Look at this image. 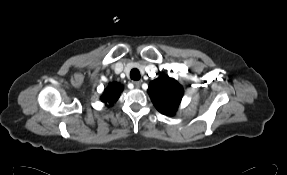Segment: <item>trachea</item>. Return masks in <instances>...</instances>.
Returning <instances> with one entry per match:
<instances>
[{
  "instance_id": "1",
  "label": "trachea",
  "mask_w": 287,
  "mask_h": 175,
  "mask_svg": "<svg viewBox=\"0 0 287 175\" xmlns=\"http://www.w3.org/2000/svg\"><path fill=\"white\" fill-rule=\"evenodd\" d=\"M130 77L133 80H139L140 79V72L138 69L134 68L130 72Z\"/></svg>"
}]
</instances>
